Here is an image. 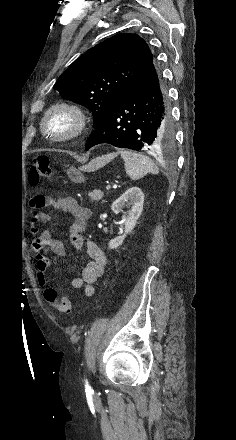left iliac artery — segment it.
Listing matches in <instances>:
<instances>
[{
  "mask_svg": "<svg viewBox=\"0 0 236 440\" xmlns=\"http://www.w3.org/2000/svg\"><path fill=\"white\" fill-rule=\"evenodd\" d=\"M85 389H86L87 391L91 390V386L89 385V383H88L87 380H85Z\"/></svg>",
  "mask_w": 236,
  "mask_h": 440,
  "instance_id": "obj_1",
  "label": "left iliac artery"
}]
</instances>
